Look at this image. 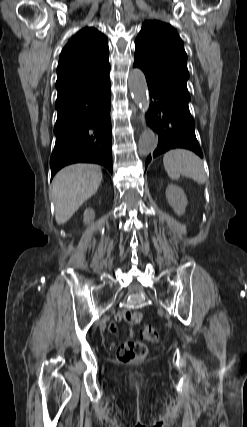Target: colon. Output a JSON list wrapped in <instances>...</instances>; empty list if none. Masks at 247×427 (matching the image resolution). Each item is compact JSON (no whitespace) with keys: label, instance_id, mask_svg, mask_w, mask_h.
I'll return each mask as SVG.
<instances>
[{"label":"colon","instance_id":"5ec220e1","mask_svg":"<svg viewBox=\"0 0 247 427\" xmlns=\"http://www.w3.org/2000/svg\"><path fill=\"white\" fill-rule=\"evenodd\" d=\"M145 340L157 343L160 340L159 331L153 326L146 325L142 329ZM147 347L141 342H125L117 349V359L122 363H133L143 360L147 356Z\"/></svg>","mask_w":247,"mask_h":427}]
</instances>
